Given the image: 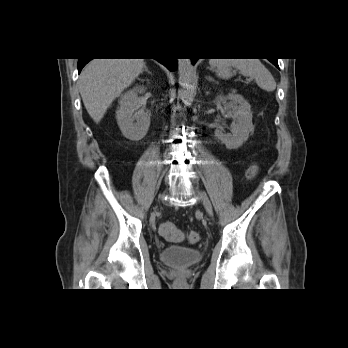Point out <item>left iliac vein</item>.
Wrapping results in <instances>:
<instances>
[{
	"instance_id": "left-iliac-vein-1",
	"label": "left iliac vein",
	"mask_w": 348,
	"mask_h": 348,
	"mask_svg": "<svg viewBox=\"0 0 348 348\" xmlns=\"http://www.w3.org/2000/svg\"><path fill=\"white\" fill-rule=\"evenodd\" d=\"M197 197L199 198V200L203 204V206H204L206 212L208 213V215L212 216L213 215L212 204H211L209 198L207 197V195L204 192H202V191H198L197 192Z\"/></svg>"
}]
</instances>
